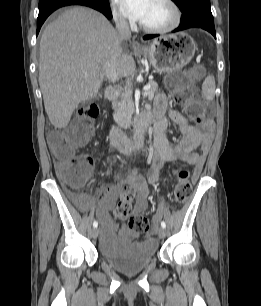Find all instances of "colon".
Returning a JSON list of instances; mask_svg holds the SVG:
<instances>
[{
	"instance_id": "1",
	"label": "colon",
	"mask_w": 261,
	"mask_h": 306,
	"mask_svg": "<svg viewBox=\"0 0 261 306\" xmlns=\"http://www.w3.org/2000/svg\"><path fill=\"white\" fill-rule=\"evenodd\" d=\"M201 75L200 69L192 72H175L167 76L166 83L177 104H189L193 99L192 84L195 78ZM100 110L96 105H85L76 116L74 122L58 134L52 141L55 155L65 166L59 172L60 179L70 187H78L85 183L90 173L91 161L87 157L75 156V153L89 143ZM191 117L199 121L200 111L196 107L190 108ZM178 182L173 193V200L182 204L189 198L192 186L189 172L180 168L177 172ZM134 192L130 187H125L120 201L114 209V216L118 219L129 216V228L138 234H147L150 224L146 217L132 214V201Z\"/></svg>"
}]
</instances>
